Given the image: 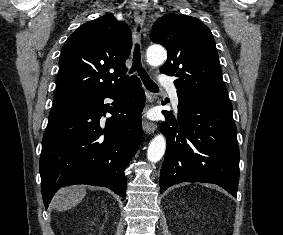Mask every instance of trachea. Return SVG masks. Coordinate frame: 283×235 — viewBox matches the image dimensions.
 <instances>
[{"label": "trachea", "mask_w": 283, "mask_h": 235, "mask_svg": "<svg viewBox=\"0 0 283 235\" xmlns=\"http://www.w3.org/2000/svg\"><path fill=\"white\" fill-rule=\"evenodd\" d=\"M140 28L138 27V31ZM134 71H137L139 76L141 77L145 87L150 90L151 92H157L158 91V86L151 80V78L148 76L146 71L141 65L140 62V47L138 44L135 45V50H134V57H133V65L130 70L131 73Z\"/></svg>", "instance_id": "obj_1"}]
</instances>
